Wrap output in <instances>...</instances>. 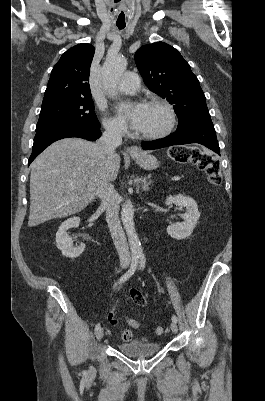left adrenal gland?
<instances>
[{
  "instance_id": "a2214340",
  "label": "left adrenal gland",
  "mask_w": 265,
  "mask_h": 401,
  "mask_svg": "<svg viewBox=\"0 0 265 401\" xmlns=\"http://www.w3.org/2000/svg\"><path fill=\"white\" fill-rule=\"evenodd\" d=\"M139 182H141L142 190H149V184H151L152 180H148V178L144 176V178H139ZM137 186H140V184H137Z\"/></svg>"
}]
</instances>
